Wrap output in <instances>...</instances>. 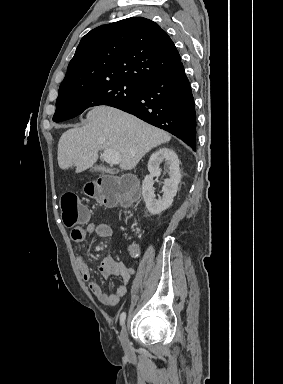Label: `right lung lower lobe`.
Masks as SVG:
<instances>
[{"label":"right lung lower lobe","instance_id":"98d812e1","mask_svg":"<svg viewBox=\"0 0 283 384\" xmlns=\"http://www.w3.org/2000/svg\"><path fill=\"white\" fill-rule=\"evenodd\" d=\"M113 107L168 131L196 150V111L184 68L141 84L136 98Z\"/></svg>","mask_w":283,"mask_h":384}]
</instances>
